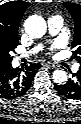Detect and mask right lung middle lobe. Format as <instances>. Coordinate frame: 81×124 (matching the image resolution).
Returning a JSON list of instances; mask_svg holds the SVG:
<instances>
[{"label": "right lung middle lobe", "instance_id": "right-lung-middle-lobe-1", "mask_svg": "<svg viewBox=\"0 0 81 124\" xmlns=\"http://www.w3.org/2000/svg\"><path fill=\"white\" fill-rule=\"evenodd\" d=\"M17 47V44H8L5 45L3 52H2V57L4 59L5 62L7 63H11L12 61V56L10 55V53L12 51H14V49Z\"/></svg>", "mask_w": 81, "mask_h": 124}]
</instances>
